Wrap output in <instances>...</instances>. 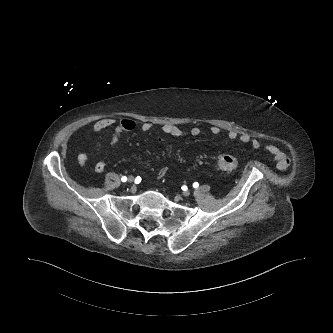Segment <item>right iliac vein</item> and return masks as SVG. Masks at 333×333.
<instances>
[{
	"label": "right iliac vein",
	"instance_id": "1",
	"mask_svg": "<svg viewBox=\"0 0 333 333\" xmlns=\"http://www.w3.org/2000/svg\"><path fill=\"white\" fill-rule=\"evenodd\" d=\"M133 181H134V177H133V176H129V177H128V182H129V183H132Z\"/></svg>",
	"mask_w": 333,
	"mask_h": 333
}]
</instances>
